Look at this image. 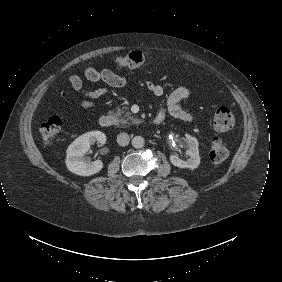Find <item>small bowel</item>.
<instances>
[{"label":"small bowel","mask_w":282,"mask_h":282,"mask_svg":"<svg viewBox=\"0 0 282 282\" xmlns=\"http://www.w3.org/2000/svg\"><path fill=\"white\" fill-rule=\"evenodd\" d=\"M84 76L89 81L102 82L112 88H122L127 85L126 78L109 69L100 70L90 66L84 70ZM69 81L73 90L84 96V99L79 103V106L84 110L98 107L100 105L99 98L107 93L106 88L94 90L85 89L81 77L77 74L70 75ZM145 85L155 96H162L165 92V86L163 84L146 81ZM190 95L191 91L188 87L177 84L167 98L166 107L160 109L156 113L155 118L159 117L164 121L167 115H170L183 122H194L195 116L182 107V105L187 102Z\"/></svg>","instance_id":"obj_1"}]
</instances>
